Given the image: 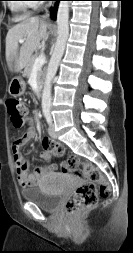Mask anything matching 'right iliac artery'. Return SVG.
<instances>
[{"label": "right iliac artery", "mask_w": 133, "mask_h": 253, "mask_svg": "<svg viewBox=\"0 0 133 253\" xmlns=\"http://www.w3.org/2000/svg\"><path fill=\"white\" fill-rule=\"evenodd\" d=\"M44 115L46 116V115H47V112H45Z\"/></svg>", "instance_id": "1"}]
</instances>
